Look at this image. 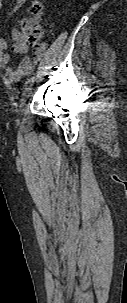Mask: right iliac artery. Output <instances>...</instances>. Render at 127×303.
<instances>
[{
    "label": "right iliac artery",
    "mask_w": 127,
    "mask_h": 303,
    "mask_svg": "<svg viewBox=\"0 0 127 303\" xmlns=\"http://www.w3.org/2000/svg\"><path fill=\"white\" fill-rule=\"evenodd\" d=\"M34 81H35V77L34 76L30 77L25 84V89H28L30 86H32Z\"/></svg>",
    "instance_id": "82829eb1"
}]
</instances>
